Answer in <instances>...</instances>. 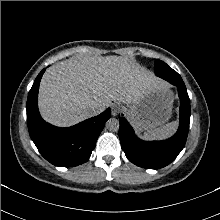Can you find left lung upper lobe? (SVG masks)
<instances>
[{
    "mask_svg": "<svg viewBox=\"0 0 220 220\" xmlns=\"http://www.w3.org/2000/svg\"><path fill=\"white\" fill-rule=\"evenodd\" d=\"M167 67L168 65L165 62L156 60L154 65L156 75L159 76Z\"/></svg>",
    "mask_w": 220,
    "mask_h": 220,
    "instance_id": "left-lung-upper-lobe-1",
    "label": "left lung upper lobe"
}]
</instances>
